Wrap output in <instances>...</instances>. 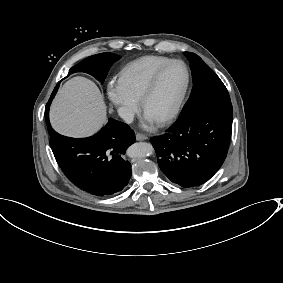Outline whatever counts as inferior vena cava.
Here are the masks:
<instances>
[{
	"label": "inferior vena cava",
	"mask_w": 283,
	"mask_h": 283,
	"mask_svg": "<svg viewBox=\"0 0 283 283\" xmlns=\"http://www.w3.org/2000/svg\"><path fill=\"white\" fill-rule=\"evenodd\" d=\"M118 115L122 118L126 123H132L134 118L133 111L127 106H121L118 108Z\"/></svg>",
	"instance_id": "1"
}]
</instances>
